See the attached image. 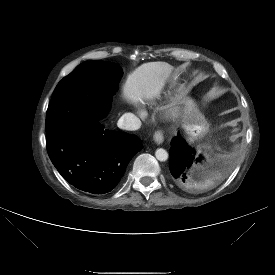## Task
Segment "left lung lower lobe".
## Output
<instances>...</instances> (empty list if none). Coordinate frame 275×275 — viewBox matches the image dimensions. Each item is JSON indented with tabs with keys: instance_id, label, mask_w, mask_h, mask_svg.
<instances>
[{
	"instance_id": "0a47b994",
	"label": "left lung lower lobe",
	"mask_w": 275,
	"mask_h": 275,
	"mask_svg": "<svg viewBox=\"0 0 275 275\" xmlns=\"http://www.w3.org/2000/svg\"><path fill=\"white\" fill-rule=\"evenodd\" d=\"M169 154V169L173 181L181 187L189 186L190 181L187 172L193 165L194 151L188 147L187 143L180 136H177L171 141ZM196 162H200V159L197 158Z\"/></svg>"
}]
</instances>
